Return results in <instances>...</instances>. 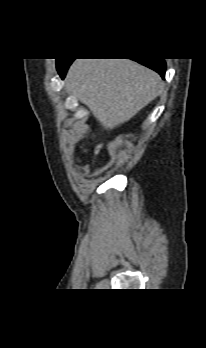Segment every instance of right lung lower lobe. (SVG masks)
Listing matches in <instances>:
<instances>
[{
  "mask_svg": "<svg viewBox=\"0 0 206 348\" xmlns=\"http://www.w3.org/2000/svg\"><path fill=\"white\" fill-rule=\"evenodd\" d=\"M74 59H68V60H61L59 64H57V70L62 78H64L67 69L69 65L72 63ZM140 64H143L156 72H158L161 77L164 79L165 77V69H166V63L164 59H157V58H141V59H133Z\"/></svg>",
  "mask_w": 206,
  "mask_h": 348,
  "instance_id": "right-lung-lower-lobe-1",
  "label": "right lung lower lobe"
}]
</instances>
